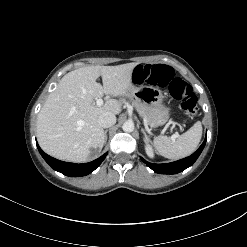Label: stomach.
I'll use <instances>...</instances> for the list:
<instances>
[{
  "instance_id": "1",
  "label": "stomach",
  "mask_w": 247,
  "mask_h": 247,
  "mask_svg": "<svg viewBox=\"0 0 247 247\" xmlns=\"http://www.w3.org/2000/svg\"><path fill=\"white\" fill-rule=\"evenodd\" d=\"M130 97H134L137 100L149 105V106H159L166 110L163 106L164 94L163 92L153 86H132L130 92ZM167 111V110H166Z\"/></svg>"
}]
</instances>
